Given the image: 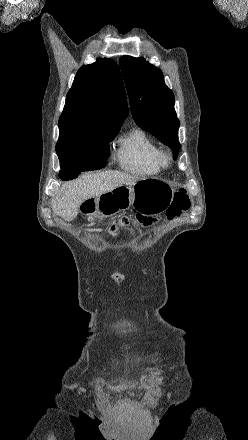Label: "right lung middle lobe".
Returning a JSON list of instances; mask_svg holds the SVG:
<instances>
[{"mask_svg":"<svg viewBox=\"0 0 248 440\" xmlns=\"http://www.w3.org/2000/svg\"><path fill=\"white\" fill-rule=\"evenodd\" d=\"M117 131L94 133L74 144L56 148L60 160L59 177L69 180L82 171L101 169L110 155L109 142L118 134Z\"/></svg>","mask_w":248,"mask_h":440,"instance_id":"right-lung-middle-lobe-1","label":"right lung middle lobe"}]
</instances>
